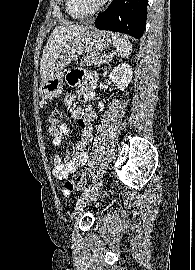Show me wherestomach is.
I'll list each match as a JSON object with an SVG mask.
<instances>
[{"label":"stomach","instance_id":"1","mask_svg":"<svg viewBox=\"0 0 195 270\" xmlns=\"http://www.w3.org/2000/svg\"><path fill=\"white\" fill-rule=\"evenodd\" d=\"M111 42L109 33L90 28L71 39L63 51V55L49 69L48 74L40 86V95L45 100L56 98L64 85L65 67L79 55L88 51H103Z\"/></svg>","mask_w":195,"mask_h":270}]
</instances>
